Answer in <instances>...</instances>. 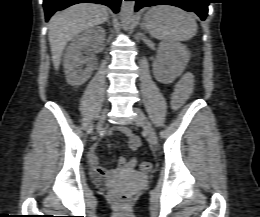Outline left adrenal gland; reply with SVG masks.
<instances>
[{
	"instance_id": "obj_1",
	"label": "left adrenal gland",
	"mask_w": 260,
	"mask_h": 217,
	"mask_svg": "<svg viewBox=\"0 0 260 217\" xmlns=\"http://www.w3.org/2000/svg\"><path fill=\"white\" fill-rule=\"evenodd\" d=\"M141 29L147 31L146 23L144 21L141 23Z\"/></svg>"
}]
</instances>
